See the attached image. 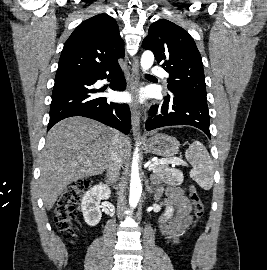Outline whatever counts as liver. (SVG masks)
<instances>
[{"instance_id": "1", "label": "liver", "mask_w": 267, "mask_h": 270, "mask_svg": "<svg viewBox=\"0 0 267 270\" xmlns=\"http://www.w3.org/2000/svg\"><path fill=\"white\" fill-rule=\"evenodd\" d=\"M116 131L94 120L70 117L47 134L40 162L39 187L47 210L71 183L103 173ZM122 160L129 157V138L119 137Z\"/></svg>"}]
</instances>
